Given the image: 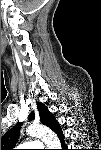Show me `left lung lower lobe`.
Returning <instances> with one entry per match:
<instances>
[{
    "mask_svg": "<svg viewBox=\"0 0 101 150\" xmlns=\"http://www.w3.org/2000/svg\"><path fill=\"white\" fill-rule=\"evenodd\" d=\"M58 137L60 138V140H61V144H62V146H65V144H64V142H63V134H62V132L61 131H59V133H58Z\"/></svg>",
    "mask_w": 101,
    "mask_h": 150,
    "instance_id": "left-lung-lower-lobe-1",
    "label": "left lung lower lobe"
}]
</instances>
